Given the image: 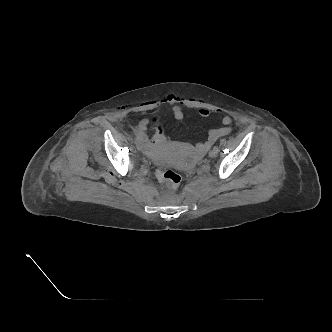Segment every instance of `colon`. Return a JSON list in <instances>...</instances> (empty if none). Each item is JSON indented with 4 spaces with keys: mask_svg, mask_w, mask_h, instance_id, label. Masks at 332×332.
Returning a JSON list of instances; mask_svg holds the SVG:
<instances>
[{
    "mask_svg": "<svg viewBox=\"0 0 332 332\" xmlns=\"http://www.w3.org/2000/svg\"><path fill=\"white\" fill-rule=\"evenodd\" d=\"M155 137L159 141H163L165 139L163 130L160 126L155 127ZM156 176L158 180L169 189H176L181 182V176L177 172L163 166H160L157 169Z\"/></svg>",
    "mask_w": 332,
    "mask_h": 332,
    "instance_id": "obj_1",
    "label": "colon"
}]
</instances>
